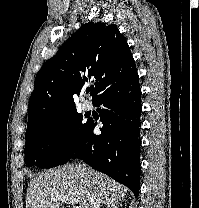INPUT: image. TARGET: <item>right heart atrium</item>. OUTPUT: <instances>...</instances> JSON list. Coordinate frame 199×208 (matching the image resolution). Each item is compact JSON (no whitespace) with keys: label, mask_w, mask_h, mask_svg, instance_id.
Here are the masks:
<instances>
[{"label":"right heart atrium","mask_w":199,"mask_h":208,"mask_svg":"<svg viewBox=\"0 0 199 208\" xmlns=\"http://www.w3.org/2000/svg\"><path fill=\"white\" fill-rule=\"evenodd\" d=\"M72 137L71 130L68 126L62 125L56 131V141L57 145L60 147H64L68 145Z\"/></svg>","instance_id":"right-heart-atrium-1"}]
</instances>
